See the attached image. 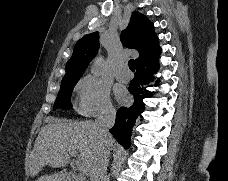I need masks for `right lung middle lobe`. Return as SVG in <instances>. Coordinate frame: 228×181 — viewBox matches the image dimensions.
Here are the masks:
<instances>
[{"mask_svg": "<svg viewBox=\"0 0 228 181\" xmlns=\"http://www.w3.org/2000/svg\"><path fill=\"white\" fill-rule=\"evenodd\" d=\"M77 82L78 80L61 82V88L54 103V109L61 108L64 110H68L72 108L70 99L72 90Z\"/></svg>", "mask_w": 228, "mask_h": 181, "instance_id": "obj_1", "label": "right lung middle lobe"}]
</instances>
